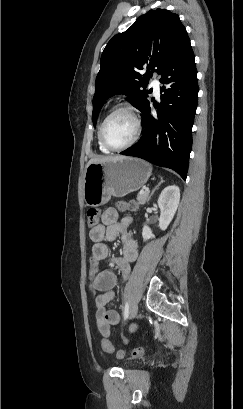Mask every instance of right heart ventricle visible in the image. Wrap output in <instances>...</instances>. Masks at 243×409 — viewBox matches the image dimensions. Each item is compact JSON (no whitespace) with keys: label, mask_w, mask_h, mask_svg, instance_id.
I'll use <instances>...</instances> for the list:
<instances>
[{"label":"right heart ventricle","mask_w":243,"mask_h":409,"mask_svg":"<svg viewBox=\"0 0 243 409\" xmlns=\"http://www.w3.org/2000/svg\"><path fill=\"white\" fill-rule=\"evenodd\" d=\"M97 140H98L99 150H100L101 152H103V153H110V150H108L106 147H104V145L101 143V141H100V139H99V131H98V134H97Z\"/></svg>","instance_id":"e07e8e85"}]
</instances>
